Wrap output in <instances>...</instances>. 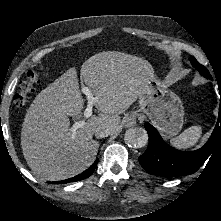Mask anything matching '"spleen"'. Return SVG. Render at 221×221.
<instances>
[{
    "label": "spleen",
    "mask_w": 221,
    "mask_h": 221,
    "mask_svg": "<svg viewBox=\"0 0 221 221\" xmlns=\"http://www.w3.org/2000/svg\"><path fill=\"white\" fill-rule=\"evenodd\" d=\"M202 134L201 126H191L183 131L179 136L172 138L170 143L178 149H186L194 146Z\"/></svg>",
    "instance_id": "1"
}]
</instances>
